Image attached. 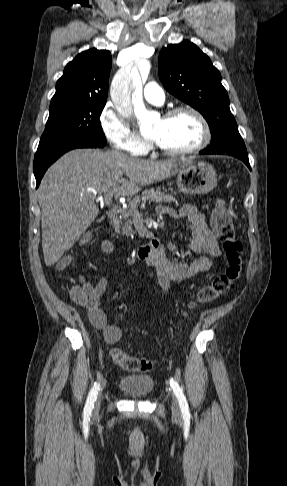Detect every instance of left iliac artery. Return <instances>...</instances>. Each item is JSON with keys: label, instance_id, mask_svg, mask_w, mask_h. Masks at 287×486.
<instances>
[{"label": "left iliac artery", "instance_id": "1", "mask_svg": "<svg viewBox=\"0 0 287 486\" xmlns=\"http://www.w3.org/2000/svg\"><path fill=\"white\" fill-rule=\"evenodd\" d=\"M170 385H171V387L173 389V392H174L175 396L177 397V399L179 401V405H180V409L182 411L183 417H187V418L190 417L188 403H187V400H186V397H185V395L183 393L182 388L173 379H171Z\"/></svg>", "mask_w": 287, "mask_h": 486}]
</instances>
